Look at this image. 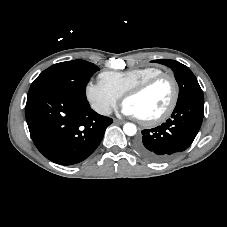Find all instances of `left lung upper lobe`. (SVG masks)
Returning a JSON list of instances; mask_svg holds the SVG:
<instances>
[{
  "label": "left lung upper lobe",
  "mask_w": 227,
  "mask_h": 227,
  "mask_svg": "<svg viewBox=\"0 0 227 227\" xmlns=\"http://www.w3.org/2000/svg\"><path fill=\"white\" fill-rule=\"evenodd\" d=\"M152 62L164 64L170 67L179 85V96L177 103L192 97L204 99L202 89L191 70L182 63L175 60L160 59Z\"/></svg>",
  "instance_id": "left-lung-upper-lobe-1"
}]
</instances>
